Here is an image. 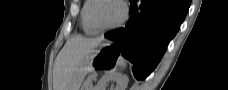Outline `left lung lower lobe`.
<instances>
[{
    "label": "left lung lower lobe",
    "mask_w": 228,
    "mask_h": 90,
    "mask_svg": "<svg viewBox=\"0 0 228 90\" xmlns=\"http://www.w3.org/2000/svg\"><path fill=\"white\" fill-rule=\"evenodd\" d=\"M131 18L125 28L105 37L117 43L122 56L133 63V74L145 79L157 66L176 35L190 6L188 0H129Z\"/></svg>",
    "instance_id": "0a47b994"
}]
</instances>
